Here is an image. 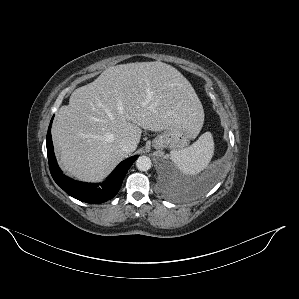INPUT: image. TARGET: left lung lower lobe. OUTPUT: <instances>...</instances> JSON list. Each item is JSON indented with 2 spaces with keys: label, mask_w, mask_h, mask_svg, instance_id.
Listing matches in <instances>:
<instances>
[{
  "label": "left lung lower lobe",
  "mask_w": 299,
  "mask_h": 299,
  "mask_svg": "<svg viewBox=\"0 0 299 299\" xmlns=\"http://www.w3.org/2000/svg\"><path fill=\"white\" fill-rule=\"evenodd\" d=\"M215 179H216V174L214 172L205 174L201 178V180L197 183L196 189L198 191L206 190L214 183Z\"/></svg>",
  "instance_id": "1"
}]
</instances>
